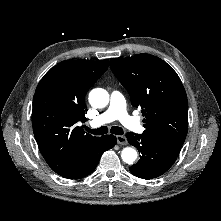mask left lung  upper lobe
<instances>
[{
    "mask_svg": "<svg viewBox=\"0 0 221 221\" xmlns=\"http://www.w3.org/2000/svg\"><path fill=\"white\" fill-rule=\"evenodd\" d=\"M110 68L145 117L143 136L182 146L188 128V100L176 72L150 54L111 58Z\"/></svg>",
    "mask_w": 221,
    "mask_h": 221,
    "instance_id": "obj_1",
    "label": "left lung upper lobe"
}]
</instances>
